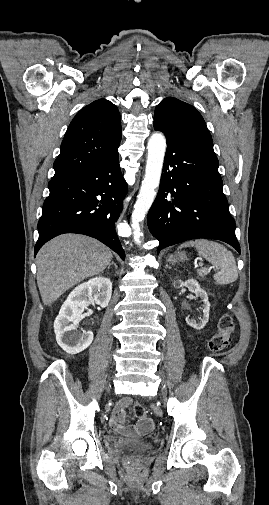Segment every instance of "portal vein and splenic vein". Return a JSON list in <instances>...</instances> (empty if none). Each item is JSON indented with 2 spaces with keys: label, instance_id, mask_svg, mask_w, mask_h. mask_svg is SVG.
I'll return each mask as SVG.
<instances>
[{
  "label": "portal vein and splenic vein",
  "instance_id": "portal-vein-and-splenic-vein-1",
  "mask_svg": "<svg viewBox=\"0 0 269 505\" xmlns=\"http://www.w3.org/2000/svg\"><path fill=\"white\" fill-rule=\"evenodd\" d=\"M195 266H196V267H201V268H202V267H203V263L196 264Z\"/></svg>",
  "mask_w": 269,
  "mask_h": 505
}]
</instances>
